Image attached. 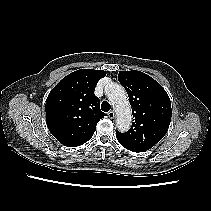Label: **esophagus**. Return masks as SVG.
<instances>
[{"label":"esophagus","mask_w":211,"mask_h":211,"mask_svg":"<svg viewBox=\"0 0 211 211\" xmlns=\"http://www.w3.org/2000/svg\"><path fill=\"white\" fill-rule=\"evenodd\" d=\"M107 115L110 119H113L115 117V112L113 110H111L107 113Z\"/></svg>","instance_id":"obj_1"}]
</instances>
